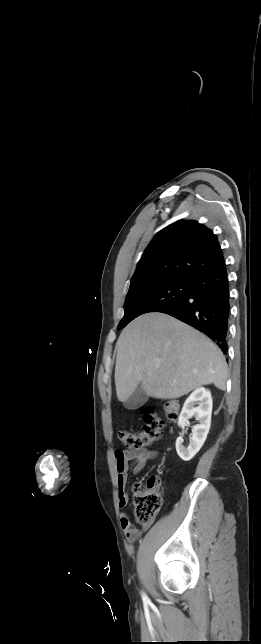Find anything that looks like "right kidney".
<instances>
[{
    "instance_id": "right-kidney-1",
    "label": "right kidney",
    "mask_w": 261,
    "mask_h": 644,
    "mask_svg": "<svg viewBox=\"0 0 261 644\" xmlns=\"http://www.w3.org/2000/svg\"><path fill=\"white\" fill-rule=\"evenodd\" d=\"M211 414L212 397L210 391L203 387L197 388L185 401L178 419V425L182 429L188 426V419L191 417L199 421V424L193 427L192 441L187 448L183 445V437H178L176 440V451L182 460H191L203 446L210 429Z\"/></svg>"
}]
</instances>
